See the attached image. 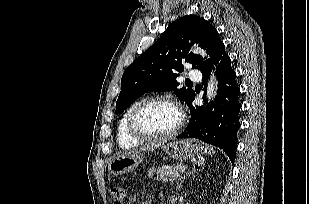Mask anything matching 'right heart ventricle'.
I'll list each match as a JSON object with an SVG mask.
<instances>
[{"label": "right heart ventricle", "instance_id": "obj_1", "mask_svg": "<svg viewBox=\"0 0 309 204\" xmlns=\"http://www.w3.org/2000/svg\"><path fill=\"white\" fill-rule=\"evenodd\" d=\"M139 102L133 103L123 114L118 125V143L122 148H130L138 145L140 140L134 138L128 131V119L133 108Z\"/></svg>", "mask_w": 309, "mask_h": 204}]
</instances>
